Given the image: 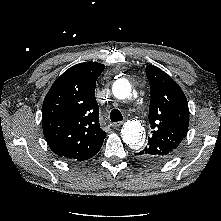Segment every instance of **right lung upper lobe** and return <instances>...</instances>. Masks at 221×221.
Segmentation results:
<instances>
[{"label":"right lung upper lobe","instance_id":"1","mask_svg":"<svg viewBox=\"0 0 221 221\" xmlns=\"http://www.w3.org/2000/svg\"><path fill=\"white\" fill-rule=\"evenodd\" d=\"M104 68L95 62L72 66L53 83L43 101V133L61 158L87 160L102 147L106 132L99 126L95 86Z\"/></svg>","mask_w":221,"mask_h":221}]
</instances>
